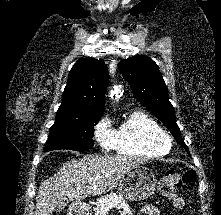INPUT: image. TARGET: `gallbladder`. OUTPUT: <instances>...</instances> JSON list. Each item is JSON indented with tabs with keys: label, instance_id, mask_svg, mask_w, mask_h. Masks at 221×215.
I'll use <instances>...</instances> for the list:
<instances>
[{
	"label": "gallbladder",
	"instance_id": "obj_1",
	"mask_svg": "<svg viewBox=\"0 0 221 215\" xmlns=\"http://www.w3.org/2000/svg\"><path fill=\"white\" fill-rule=\"evenodd\" d=\"M66 205H67V202H57L54 207V211L61 212L65 209Z\"/></svg>",
	"mask_w": 221,
	"mask_h": 215
}]
</instances>
